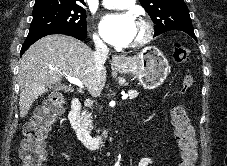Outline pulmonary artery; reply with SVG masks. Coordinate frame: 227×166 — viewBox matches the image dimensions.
Returning <instances> with one entry per match:
<instances>
[{"label":"pulmonary artery","mask_w":227,"mask_h":166,"mask_svg":"<svg viewBox=\"0 0 227 166\" xmlns=\"http://www.w3.org/2000/svg\"><path fill=\"white\" fill-rule=\"evenodd\" d=\"M135 0H103L102 5L108 9H124L132 6Z\"/></svg>","instance_id":"pulmonary-artery-1"}]
</instances>
